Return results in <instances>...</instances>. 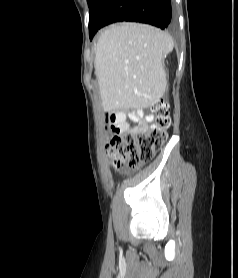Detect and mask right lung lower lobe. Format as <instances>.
<instances>
[{"label": "right lung lower lobe", "mask_w": 238, "mask_h": 278, "mask_svg": "<svg viewBox=\"0 0 238 278\" xmlns=\"http://www.w3.org/2000/svg\"><path fill=\"white\" fill-rule=\"evenodd\" d=\"M171 0H96L90 9L89 36L117 21H135L161 29L171 26Z\"/></svg>", "instance_id": "98d812e1"}]
</instances>
